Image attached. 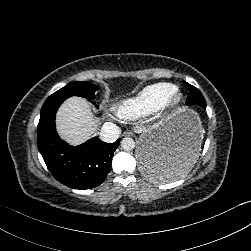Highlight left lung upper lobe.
<instances>
[{
  "mask_svg": "<svg viewBox=\"0 0 251 251\" xmlns=\"http://www.w3.org/2000/svg\"><path fill=\"white\" fill-rule=\"evenodd\" d=\"M183 83L185 87L189 90V95L187 97L186 104H196L202 106L203 108H206V102L202 93L197 88L188 84L187 82L183 81Z\"/></svg>",
  "mask_w": 251,
  "mask_h": 251,
  "instance_id": "1",
  "label": "left lung upper lobe"
}]
</instances>
